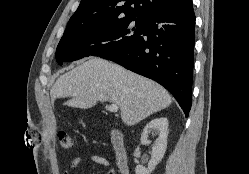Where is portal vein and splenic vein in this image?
Segmentation results:
<instances>
[{"label": "portal vein and splenic vein", "mask_w": 249, "mask_h": 174, "mask_svg": "<svg viewBox=\"0 0 249 174\" xmlns=\"http://www.w3.org/2000/svg\"><path fill=\"white\" fill-rule=\"evenodd\" d=\"M105 108L112 113H117L119 109L117 104L106 105Z\"/></svg>", "instance_id": "portal-vein-and-splenic-vein-1"}]
</instances>
